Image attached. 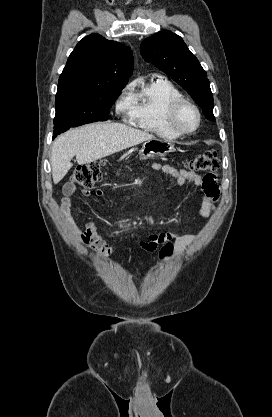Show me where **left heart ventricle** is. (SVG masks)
<instances>
[{
	"mask_svg": "<svg viewBox=\"0 0 272 417\" xmlns=\"http://www.w3.org/2000/svg\"><path fill=\"white\" fill-rule=\"evenodd\" d=\"M196 113L190 107H184L178 115V124L184 130H191L196 126Z\"/></svg>",
	"mask_w": 272,
	"mask_h": 417,
	"instance_id": "b2bd125f",
	"label": "left heart ventricle"
}]
</instances>
